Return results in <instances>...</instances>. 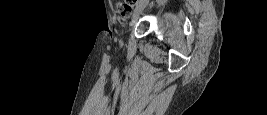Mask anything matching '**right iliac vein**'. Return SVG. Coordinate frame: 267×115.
<instances>
[{"label":"right iliac vein","instance_id":"right-iliac-vein-1","mask_svg":"<svg viewBox=\"0 0 267 115\" xmlns=\"http://www.w3.org/2000/svg\"><path fill=\"white\" fill-rule=\"evenodd\" d=\"M147 3L144 1H141L137 7L134 10L133 13V21L136 20L138 18V16L141 14V12L144 10V8L146 7Z\"/></svg>","mask_w":267,"mask_h":115}]
</instances>
